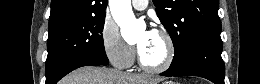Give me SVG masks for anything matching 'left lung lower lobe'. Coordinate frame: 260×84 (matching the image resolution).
Wrapping results in <instances>:
<instances>
[{"label":"left lung lower lobe","instance_id":"left-lung-lower-lobe-1","mask_svg":"<svg viewBox=\"0 0 260 84\" xmlns=\"http://www.w3.org/2000/svg\"><path fill=\"white\" fill-rule=\"evenodd\" d=\"M221 38H209L194 44L162 76H199L215 84H224L225 65L221 57Z\"/></svg>","mask_w":260,"mask_h":84}]
</instances>
